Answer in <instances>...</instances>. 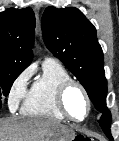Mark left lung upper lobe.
<instances>
[{"label": "left lung upper lobe", "instance_id": "obj_1", "mask_svg": "<svg viewBox=\"0 0 119 141\" xmlns=\"http://www.w3.org/2000/svg\"><path fill=\"white\" fill-rule=\"evenodd\" d=\"M42 32L47 48L81 82L96 109L106 112L104 56L92 23L74 7L50 6L43 13Z\"/></svg>", "mask_w": 119, "mask_h": 141}]
</instances>
